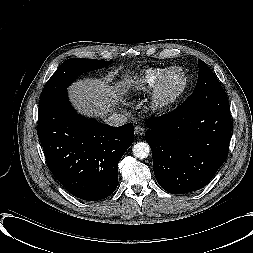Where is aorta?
<instances>
[{
    "mask_svg": "<svg viewBox=\"0 0 253 253\" xmlns=\"http://www.w3.org/2000/svg\"><path fill=\"white\" fill-rule=\"evenodd\" d=\"M132 152L136 158L144 159L150 154V146L145 142H138L134 144Z\"/></svg>",
    "mask_w": 253,
    "mask_h": 253,
    "instance_id": "1",
    "label": "aorta"
}]
</instances>
